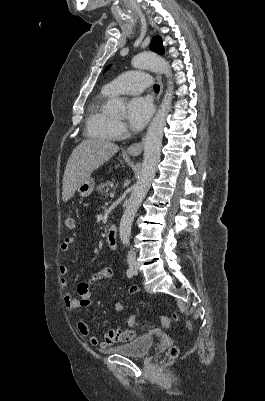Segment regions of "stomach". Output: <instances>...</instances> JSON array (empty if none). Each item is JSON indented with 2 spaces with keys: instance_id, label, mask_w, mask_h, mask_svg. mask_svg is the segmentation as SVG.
<instances>
[{
  "instance_id": "obj_1",
  "label": "stomach",
  "mask_w": 265,
  "mask_h": 401,
  "mask_svg": "<svg viewBox=\"0 0 265 401\" xmlns=\"http://www.w3.org/2000/svg\"><path fill=\"white\" fill-rule=\"evenodd\" d=\"M94 186H95L94 178H92V176H87V178H85V180H82L81 184H79L77 190L80 196H89Z\"/></svg>"
}]
</instances>
